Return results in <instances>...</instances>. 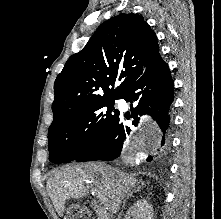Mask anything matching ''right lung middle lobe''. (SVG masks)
<instances>
[{
	"mask_svg": "<svg viewBox=\"0 0 221 219\" xmlns=\"http://www.w3.org/2000/svg\"><path fill=\"white\" fill-rule=\"evenodd\" d=\"M116 99H104L83 105L54 121L48 130L49 160L65 163L91 150L120 115Z\"/></svg>",
	"mask_w": 221,
	"mask_h": 219,
	"instance_id": "1",
	"label": "right lung middle lobe"
}]
</instances>
